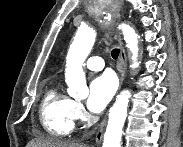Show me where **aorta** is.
<instances>
[{
    "label": "aorta",
    "instance_id": "obj_1",
    "mask_svg": "<svg viewBox=\"0 0 183 147\" xmlns=\"http://www.w3.org/2000/svg\"><path fill=\"white\" fill-rule=\"evenodd\" d=\"M121 29L132 54V68H137L139 66L137 61L139 36L129 25L123 24ZM95 38L96 32L93 28L81 27L70 45L66 57L65 81L68 85V94L71 97L84 99L89 94L83 65L93 47ZM129 98L130 92L122 91L110 108L103 147H121L122 128L127 117Z\"/></svg>",
    "mask_w": 183,
    "mask_h": 147
}]
</instances>
